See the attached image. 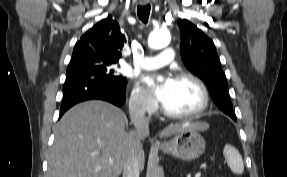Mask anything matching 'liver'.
Wrapping results in <instances>:
<instances>
[{
  "instance_id": "1",
  "label": "liver",
  "mask_w": 287,
  "mask_h": 177,
  "mask_svg": "<svg viewBox=\"0 0 287 177\" xmlns=\"http://www.w3.org/2000/svg\"><path fill=\"white\" fill-rule=\"evenodd\" d=\"M127 124L124 112L107 102L93 100L72 107L55 127L46 177H119L136 147L142 170L144 138H137L134 130L126 132ZM187 128L204 131L209 124H171L159 136L168 137ZM110 158L113 162H109Z\"/></svg>"
}]
</instances>
